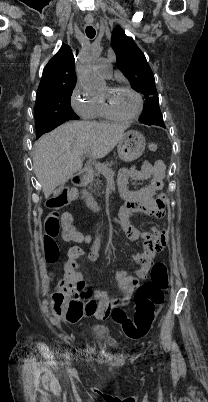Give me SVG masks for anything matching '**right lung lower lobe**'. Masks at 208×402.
Here are the masks:
<instances>
[{"instance_id":"right-lung-lower-lobe-1","label":"right lung lower lobe","mask_w":208,"mask_h":402,"mask_svg":"<svg viewBox=\"0 0 208 402\" xmlns=\"http://www.w3.org/2000/svg\"><path fill=\"white\" fill-rule=\"evenodd\" d=\"M62 123H64V122L59 121L55 118H49L47 120L37 121L36 129L38 131H41V134H40V136H41L42 134L51 131L52 129L56 128L57 126L61 125Z\"/></svg>"}]
</instances>
